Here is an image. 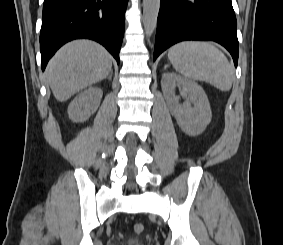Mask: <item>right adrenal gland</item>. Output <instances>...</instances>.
Returning <instances> with one entry per match:
<instances>
[{
	"label": "right adrenal gland",
	"mask_w": 283,
	"mask_h": 245,
	"mask_svg": "<svg viewBox=\"0 0 283 245\" xmlns=\"http://www.w3.org/2000/svg\"><path fill=\"white\" fill-rule=\"evenodd\" d=\"M111 78H112V74L110 75L109 79H111Z\"/></svg>",
	"instance_id": "1"
}]
</instances>
